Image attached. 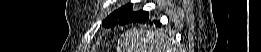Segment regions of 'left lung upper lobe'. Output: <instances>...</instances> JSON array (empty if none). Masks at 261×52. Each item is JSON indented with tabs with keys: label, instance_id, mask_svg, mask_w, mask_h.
<instances>
[{
	"label": "left lung upper lobe",
	"instance_id": "obj_1",
	"mask_svg": "<svg viewBox=\"0 0 261 52\" xmlns=\"http://www.w3.org/2000/svg\"><path fill=\"white\" fill-rule=\"evenodd\" d=\"M132 3H129L118 10L111 13L103 22V26L109 28L115 24H126L129 22H136L145 15V11H132Z\"/></svg>",
	"mask_w": 261,
	"mask_h": 52
}]
</instances>
